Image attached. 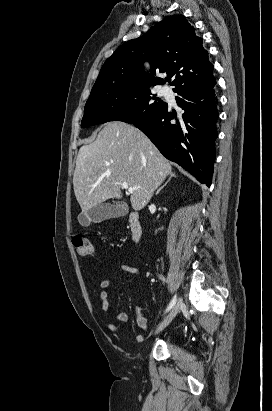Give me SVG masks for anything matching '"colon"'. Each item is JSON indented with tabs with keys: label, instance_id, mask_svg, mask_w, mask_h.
<instances>
[{
	"label": "colon",
	"instance_id": "colon-1",
	"mask_svg": "<svg viewBox=\"0 0 272 411\" xmlns=\"http://www.w3.org/2000/svg\"><path fill=\"white\" fill-rule=\"evenodd\" d=\"M73 244L78 255L80 256H88L93 252V245L91 241L86 237L75 236L73 238Z\"/></svg>",
	"mask_w": 272,
	"mask_h": 411
}]
</instances>
